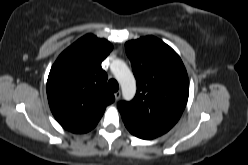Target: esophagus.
<instances>
[{
  "label": "esophagus",
  "mask_w": 248,
  "mask_h": 165,
  "mask_svg": "<svg viewBox=\"0 0 248 165\" xmlns=\"http://www.w3.org/2000/svg\"><path fill=\"white\" fill-rule=\"evenodd\" d=\"M115 99L119 100V98L121 97V91H117L114 93Z\"/></svg>",
  "instance_id": "34e87169"
}]
</instances>
